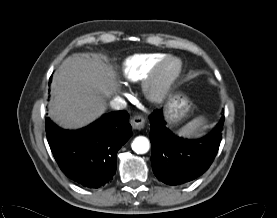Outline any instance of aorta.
Listing matches in <instances>:
<instances>
[{
    "instance_id": "1",
    "label": "aorta",
    "mask_w": 277,
    "mask_h": 218,
    "mask_svg": "<svg viewBox=\"0 0 277 218\" xmlns=\"http://www.w3.org/2000/svg\"><path fill=\"white\" fill-rule=\"evenodd\" d=\"M132 150L137 154H145L149 151V140L144 136L136 137L132 142Z\"/></svg>"
}]
</instances>
